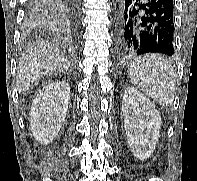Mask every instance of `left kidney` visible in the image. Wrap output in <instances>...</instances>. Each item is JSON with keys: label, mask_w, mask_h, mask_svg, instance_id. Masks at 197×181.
Returning <instances> with one entry per match:
<instances>
[{"label": "left kidney", "mask_w": 197, "mask_h": 181, "mask_svg": "<svg viewBox=\"0 0 197 181\" xmlns=\"http://www.w3.org/2000/svg\"><path fill=\"white\" fill-rule=\"evenodd\" d=\"M122 111L127 142L133 155L149 158L159 140L161 116L154 104L133 87L125 90Z\"/></svg>", "instance_id": "5707ae66"}]
</instances>
